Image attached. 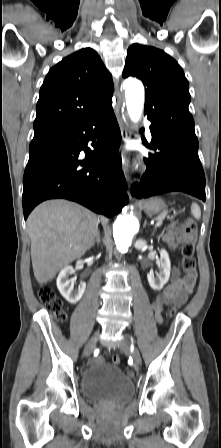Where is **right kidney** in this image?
I'll return each mask as SVG.
<instances>
[{
	"label": "right kidney",
	"mask_w": 221,
	"mask_h": 448,
	"mask_svg": "<svg viewBox=\"0 0 221 448\" xmlns=\"http://www.w3.org/2000/svg\"><path fill=\"white\" fill-rule=\"evenodd\" d=\"M74 273L75 270L72 266H66L60 271L56 282L60 294L71 304H76L81 299L86 288V283L82 282L78 289L73 291L69 276Z\"/></svg>",
	"instance_id": "1"
}]
</instances>
